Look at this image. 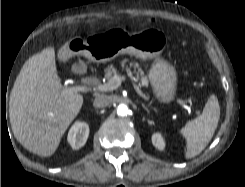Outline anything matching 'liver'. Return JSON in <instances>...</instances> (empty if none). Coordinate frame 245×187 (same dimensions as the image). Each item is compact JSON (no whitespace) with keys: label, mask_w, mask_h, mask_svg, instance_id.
Instances as JSON below:
<instances>
[{"label":"liver","mask_w":245,"mask_h":187,"mask_svg":"<svg viewBox=\"0 0 245 187\" xmlns=\"http://www.w3.org/2000/svg\"><path fill=\"white\" fill-rule=\"evenodd\" d=\"M82 104L81 94L63 87L55 49L48 47L25 62L14 82L9 101L13 134L30 152L49 157Z\"/></svg>","instance_id":"obj_1"}]
</instances>
